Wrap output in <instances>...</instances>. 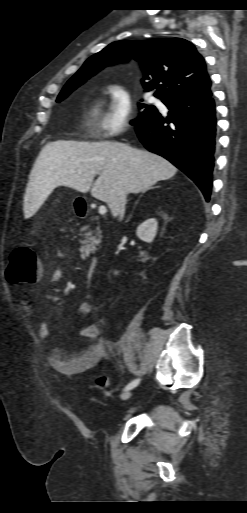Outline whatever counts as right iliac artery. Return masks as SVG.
<instances>
[{
    "label": "right iliac artery",
    "mask_w": 247,
    "mask_h": 513,
    "mask_svg": "<svg viewBox=\"0 0 247 513\" xmlns=\"http://www.w3.org/2000/svg\"><path fill=\"white\" fill-rule=\"evenodd\" d=\"M139 382H140V379H135V380H133L132 382H130V383L125 387V389H124V390H125V391H127V390H130V389H132V388L136 387V386L139 384Z\"/></svg>",
    "instance_id": "obj_1"
}]
</instances>
